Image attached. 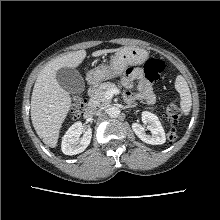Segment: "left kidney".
<instances>
[{
	"instance_id": "left-kidney-1",
	"label": "left kidney",
	"mask_w": 220,
	"mask_h": 220,
	"mask_svg": "<svg viewBox=\"0 0 220 220\" xmlns=\"http://www.w3.org/2000/svg\"><path fill=\"white\" fill-rule=\"evenodd\" d=\"M142 121L147 124V129L151 135L146 134L145 128L138 123L132 124L134 133L145 143L151 145H161L166 141L165 132L158 117L148 111L142 112Z\"/></svg>"
}]
</instances>
